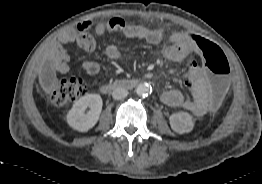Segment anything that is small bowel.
I'll return each instance as SVG.
<instances>
[{
	"instance_id": "obj_1",
	"label": "small bowel",
	"mask_w": 262,
	"mask_h": 184,
	"mask_svg": "<svg viewBox=\"0 0 262 184\" xmlns=\"http://www.w3.org/2000/svg\"><path fill=\"white\" fill-rule=\"evenodd\" d=\"M91 27L90 21H84L77 26L66 29L59 37L58 41L53 45L50 51L51 67L58 73H66L69 69L68 55L66 54L63 45L76 43L87 53H93L96 48V43L93 37L89 34ZM109 28L106 24L99 23L95 26V33L98 36L104 35ZM128 38H139L147 41L150 44L157 45L162 41V33L158 29H151L145 26H134L124 31L123 33ZM201 36L190 32L176 31L171 34V44L164 50V55L169 61L180 62L191 55L201 53L196 42ZM106 55L110 59H117L120 55L116 45H109L106 48ZM188 66L174 71L173 76L178 81H183L185 87L190 88L197 79L202 63L199 58L193 57L189 60ZM83 70L88 75H96L100 71V65L93 60H86L83 65ZM208 86L205 81H201L193 91V96L187 98L179 90L173 89L165 91L162 94V101L171 107H181L196 116L205 115L210 109L207 104Z\"/></svg>"
}]
</instances>
